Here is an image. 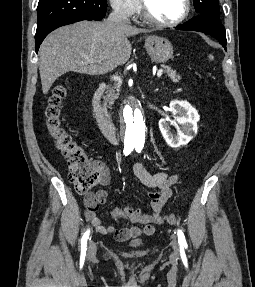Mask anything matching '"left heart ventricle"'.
Instances as JSON below:
<instances>
[{"label":"left heart ventricle","instance_id":"left-heart-ventricle-1","mask_svg":"<svg viewBox=\"0 0 255 287\" xmlns=\"http://www.w3.org/2000/svg\"><path fill=\"white\" fill-rule=\"evenodd\" d=\"M118 33H128V32H118ZM152 33H168V32H152ZM117 39H131V38H117ZM151 39H164V38H151ZM117 48H130V47H117ZM150 48H163V47H150Z\"/></svg>","mask_w":255,"mask_h":287}]
</instances>
